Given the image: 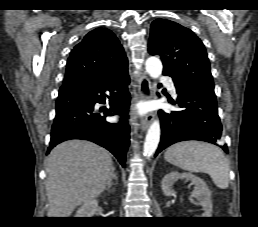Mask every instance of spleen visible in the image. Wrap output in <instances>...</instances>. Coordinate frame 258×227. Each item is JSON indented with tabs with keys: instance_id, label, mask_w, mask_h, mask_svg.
I'll use <instances>...</instances> for the list:
<instances>
[{
	"instance_id": "1",
	"label": "spleen",
	"mask_w": 258,
	"mask_h": 227,
	"mask_svg": "<svg viewBox=\"0 0 258 227\" xmlns=\"http://www.w3.org/2000/svg\"><path fill=\"white\" fill-rule=\"evenodd\" d=\"M167 162L190 172L208 174L220 189L229 186V162L216 146L199 141H183L170 146Z\"/></svg>"
}]
</instances>
